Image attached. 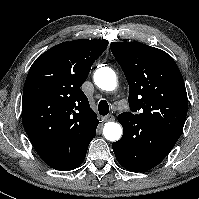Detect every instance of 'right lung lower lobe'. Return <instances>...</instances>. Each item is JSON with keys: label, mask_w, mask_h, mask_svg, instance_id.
<instances>
[{"label": "right lung lower lobe", "mask_w": 199, "mask_h": 199, "mask_svg": "<svg viewBox=\"0 0 199 199\" xmlns=\"http://www.w3.org/2000/svg\"><path fill=\"white\" fill-rule=\"evenodd\" d=\"M95 135L91 136L87 141H85V143L81 147H79L78 150L75 152L74 156L66 162H62L53 156H50L51 158H43L42 160L50 167L56 170L60 171L73 170L78 166H80L84 161L88 145L90 141L95 137Z\"/></svg>", "instance_id": "98d812e1"}]
</instances>
